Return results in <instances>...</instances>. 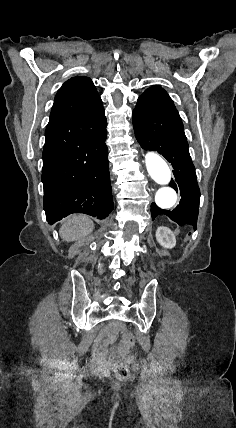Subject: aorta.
Here are the masks:
<instances>
[{
    "instance_id": "1",
    "label": "aorta",
    "mask_w": 236,
    "mask_h": 428,
    "mask_svg": "<svg viewBox=\"0 0 236 428\" xmlns=\"http://www.w3.org/2000/svg\"><path fill=\"white\" fill-rule=\"evenodd\" d=\"M146 168L151 178L161 185L156 192L155 203L161 209H170L177 200L175 190L168 186L171 180V171L167 163L154 152H148L145 156Z\"/></svg>"
}]
</instances>
